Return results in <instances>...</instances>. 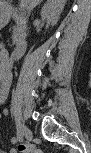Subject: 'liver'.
Here are the masks:
<instances>
[{
  "label": "liver",
  "mask_w": 91,
  "mask_h": 153,
  "mask_svg": "<svg viewBox=\"0 0 91 153\" xmlns=\"http://www.w3.org/2000/svg\"><path fill=\"white\" fill-rule=\"evenodd\" d=\"M42 0H23L21 3V6L23 8H28L29 10H32L34 7H36ZM59 4L64 5L65 1L64 0H57Z\"/></svg>",
  "instance_id": "6515ba94"
}]
</instances>
